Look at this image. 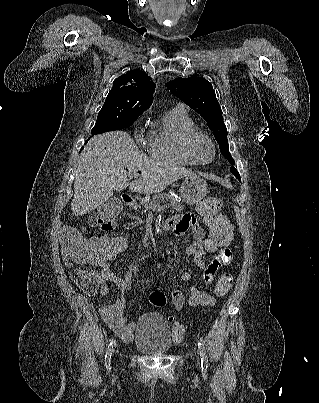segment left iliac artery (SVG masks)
Segmentation results:
<instances>
[{"instance_id": "obj_1", "label": "left iliac artery", "mask_w": 319, "mask_h": 403, "mask_svg": "<svg viewBox=\"0 0 319 403\" xmlns=\"http://www.w3.org/2000/svg\"><path fill=\"white\" fill-rule=\"evenodd\" d=\"M197 345H198L200 356H201V367H202V369H207L208 359H207L205 347L201 341H198Z\"/></svg>"}]
</instances>
